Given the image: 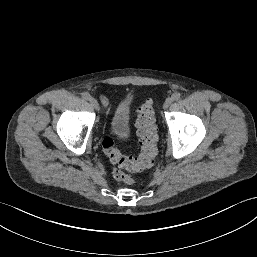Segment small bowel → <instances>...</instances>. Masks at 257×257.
Returning <instances> with one entry per match:
<instances>
[{"instance_id": "1", "label": "small bowel", "mask_w": 257, "mask_h": 257, "mask_svg": "<svg viewBox=\"0 0 257 257\" xmlns=\"http://www.w3.org/2000/svg\"><path fill=\"white\" fill-rule=\"evenodd\" d=\"M100 99H101V102H102V104L105 106V107H107L108 105H109V101H108V99L105 97V96H101L100 97Z\"/></svg>"}]
</instances>
